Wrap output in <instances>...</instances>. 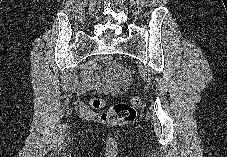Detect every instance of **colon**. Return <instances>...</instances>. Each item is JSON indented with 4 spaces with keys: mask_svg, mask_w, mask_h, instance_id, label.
<instances>
[{
    "mask_svg": "<svg viewBox=\"0 0 227 157\" xmlns=\"http://www.w3.org/2000/svg\"><path fill=\"white\" fill-rule=\"evenodd\" d=\"M90 104L95 109L103 108L106 105V101L99 98H92ZM142 104L140 96H133L130 100V104L127 103H115L109 107V109L101 115V120L106 123H117L131 121L136 116V107Z\"/></svg>",
    "mask_w": 227,
    "mask_h": 157,
    "instance_id": "1",
    "label": "colon"
}]
</instances>
